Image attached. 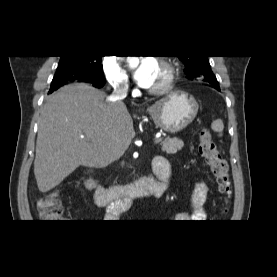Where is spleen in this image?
Masks as SVG:
<instances>
[{
    "mask_svg": "<svg viewBox=\"0 0 277 277\" xmlns=\"http://www.w3.org/2000/svg\"><path fill=\"white\" fill-rule=\"evenodd\" d=\"M211 128L212 130H214L215 132H218L220 134V136L222 135V131L224 129V124L223 121L221 119L215 120L212 124H211Z\"/></svg>",
    "mask_w": 277,
    "mask_h": 277,
    "instance_id": "obj_1",
    "label": "spleen"
}]
</instances>
